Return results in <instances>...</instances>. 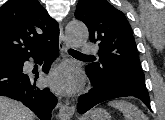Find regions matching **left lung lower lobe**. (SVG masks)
<instances>
[{
	"mask_svg": "<svg viewBox=\"0 0 165 120\" xmlns=\"http://www.w3.org/2000/svg\"><path fill=\"white\" fill-rule=\"evenodd\" d=\"M91 84L93 85L92 80ZM93 87L94 88H92L88 93L81 95L78 99L77 111L80 114L85 113L86 111L94 107L96 104L101 103L103 101L127 96H133L142 100L145 103V105L149 109H151L149 95L147 91L139 89H100L95 87L94 85Z\"/></svg>",
	"mask_w": 165,
	"mask_h": 120,
	"instance_id": "left-lung-lower-lobe-1",
	"label": "left lung lower lobe"
}]
</instances>
